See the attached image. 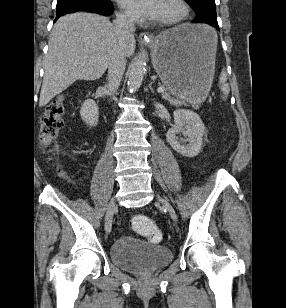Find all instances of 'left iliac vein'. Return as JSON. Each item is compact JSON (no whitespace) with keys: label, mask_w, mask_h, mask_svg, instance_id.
I'll return each mask as SVG.
<instances>
[{"label":"left iliac vein","mask_w":286,"mask_h":308,"mask_svg":"<svg viewBox=\"0 0 286 308\" xmlns=\"http://www.w3.org/2000/svg\"><path fill=\"white\" fill-rule=\"evenodd\" d=\"M158 201L163 205V207L165 209H167V211L169 212L171 218L176 221L177 220V216H176V213L173 209V207L171 206V204L169 202H167L166 200L158 197Z\"/></svg>","instance_id":"1"}]
</instances>
